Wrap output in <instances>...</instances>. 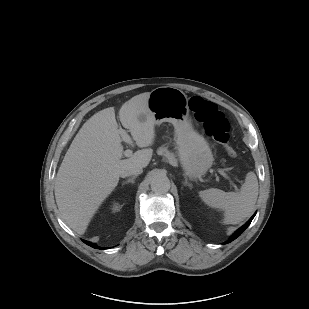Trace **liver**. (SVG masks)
<instances>
[{"label":"liver","mask_w":309,"mask_h":309,"mask_svg":"<svg viewBox=\"0 0 309 309\" xmlns=\"http://www.w3.org/2000/svg\"><path fill=\"white\" fill-rule=\"evenodd\" d=\"M149 95H136L119 110L122 126L140 148L153 145L155 140V121L147 104ZM121 133L113 107L97 112L79 130L58 170L54 188L58 209L63 220L80 235L118 185L121 172L133 166L145 168L150 163V148L122 159Z\"/></svg>","instance_id":"liver-1"}]
</instances>
